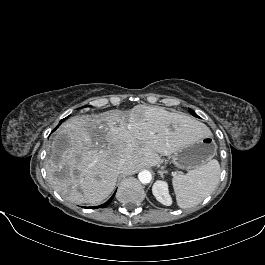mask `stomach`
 Returning <instances> with one entry per match:
<instances>
[{
	"mask_svg": "<svg viewBox=\"0 0 265 265\" xmlns=\"http://www.w3.org/2000/svg\"><path fill=\"white\" fill-rule=\"evenodd\" d=\"M216 153V144L210 135L186 140L172 156L174 165L181 169H194L206 164Z\"/></svg>",
	"mask_w": 265,
	"mask_h": 265,
	"instance_id": "stomach-1",
	"label": "stomach"
}]
</instances>
